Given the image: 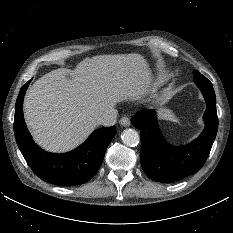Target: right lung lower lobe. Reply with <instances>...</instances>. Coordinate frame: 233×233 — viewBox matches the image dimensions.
<instances>
[{
    "label": "right lung lower lobe",
    "mask_w": 233,
    "mask_h": 233,
    "mask_svg": "<svg viewBox=\"0 0 233 233\" xmlns=\"http://www.w3.org/2000/svg\"><path fill=\"white\" fill-rule=\"evenodd\" d=\"M31 80L19 92L14 117L17 145L32 171L42 180L60 186L79 185L98 171L105 151L116 134L115 126L95 130L78 148L64 154L48 153L32 140L23 117V99Z\"/></svg>",
    "instance_id": "98d812e1"
}]
</instances>
